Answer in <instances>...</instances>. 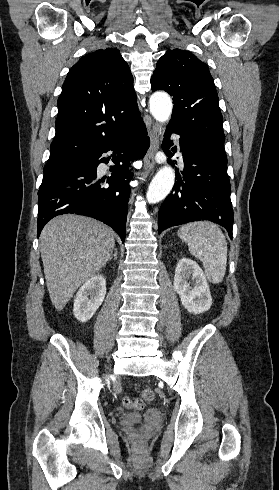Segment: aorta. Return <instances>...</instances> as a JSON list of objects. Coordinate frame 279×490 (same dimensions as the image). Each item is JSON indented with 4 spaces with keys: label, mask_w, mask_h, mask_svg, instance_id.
Wrapping results in <instances>:
<instances>
[{
    "label": "aorta",
    "mask_w": 279,
    "mask_h": 490,
    "mask_svg": "<svg viewBox=\"0 0 279 490\" xmlns=\"http://www.w3.org/2000/svg\"><path fill=\"white\" fill-rule=\"evenodd\" d=\"M150 112L161 123H166L172 113V101L168 94L154 93L149 101ZM175 181V171L171 166L162 167L152 179L146 197L149 203L163 200L172 190Z\"/></svg>",
    "instance_id": "aorta-1"
}]
</instances>
